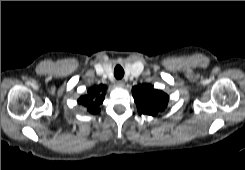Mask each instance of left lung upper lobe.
Segmentation results:
<instances>
[{
  "label": "left lung upper lobe",
  "instance_id": "1",
  "mask_svg": "<svg viewBox=\"0 0 245 170\" xmlns=\"http://www.w3.org/2000/svg\"><path fill=\"white\" fill-rule=\"evenodd\" d=\"M132 92L137 109L142 114L155 116L167 107L168 95L149 84H139L132 88Z\"/></svg>",
  "mask_w": 245,
  "mask_h": 170
}]
</instances>
